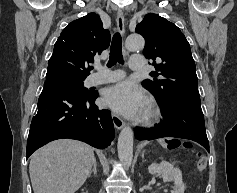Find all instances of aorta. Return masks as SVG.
Here are the masks:
<instances>
[{"instance_id":"obj_1","label":"aorta","mask_w":237,"mask_h":193,"mask_svg":"<svg viewBox=\"0 0 237 193\" xmlns=\"http://www.w3.org/2000/svg\"><path fill=\"white\" fill-rule=\"evenodd\" d=\"M144 38L140 34H131L126 39V48L128 51H137L144 47ZM133 137L134 133L131 127L125 126L118 137V156L125 167H129L133 159Z\"/></svg>"}]
</instances>
